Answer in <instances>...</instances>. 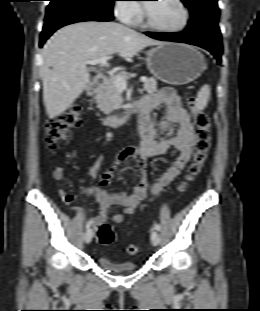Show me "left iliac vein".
<instances>
[{"mask_svg": "<svg viewBox=\"0 0 260 311\" xmlns=\"http://www.w3.org/2000/svg\"><path fill=\"white\" fill-rule=\"evenodd\" d=\"M151 242L154 246H157L160 242V235L156 230L151 233Z\"/></svg>", "mask_w": 260, "mask_h": 311, "instance_id": "4c4485c4", "label": "left iliac vein"}]
</instances>
